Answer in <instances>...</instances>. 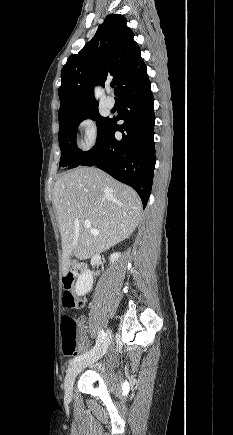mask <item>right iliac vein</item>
Wrapping results in <instances>:
<instances>
[{"label": "right iliac vein", "mask_w": 233, "mask_h": 435, "mask_svg": "<svg viewBox=\"0 0 233 435\" xmlns=\"http://www.w3.org/2000/svg\"><path fill=\"white\" fill-rule=\"evenodd\" d=\"M110 339H111V332L108 331L106 333V336L104 338L101 347L97 350V352L94 355L89 356L80 362H77L68 370L64 380V389L67 398H71L72 396L73 384L76 376L85 366L92 365L95 361H97L100 357H102L105 354L110 344Z\"/></svg>", "instance_id": "right-iliac-vein-1"}]
</instances>
